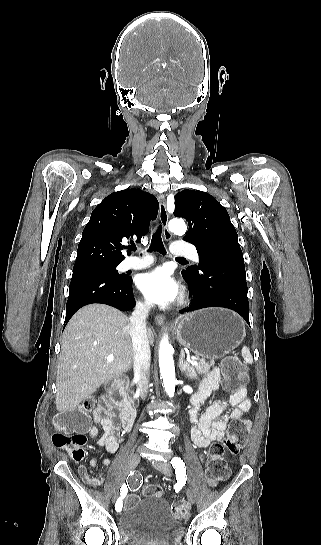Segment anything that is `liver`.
<instances>
[{
  "label": "liver",
  "mask_w": 321,
  "mask_h": 545,
  "mask_svg": "<svg viewBox=\"0 0 321 545\" xmlns=\"http://www.w3.org/2000/svg\"><path fill=\"white\" fill-rule=\"evenodd\" d=\"M150 345L154 343L147 329ZM108 355L114 361L107 363ZM130 319L108 305H86L70 319L63 335L56 379V409L74 411L117 375L131 369Z\"/></svg>",
  "instance_id": "1"
}]
</instances>
